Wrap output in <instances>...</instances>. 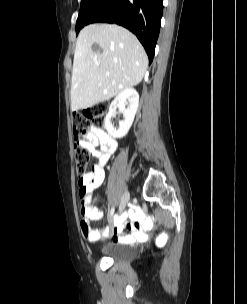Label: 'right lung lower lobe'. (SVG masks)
I'll return each mask as SVG.
<instances>
[{"label":"right lung lower lobe","instance_id":"obj_1","mask_svg":"<svg viewBox=\"0 0 247 304\" xmlns=\"http://www.w3.org/2000/svg\"><path fill=\"white\" fill-rule=\"evenodd\" d=\"M163 0H102L84 19L83 27L94 22L116 23L134 33L152 62L157 43Z\"/></svg>","mask_w":247,"mask_h":304}]
</instances>
